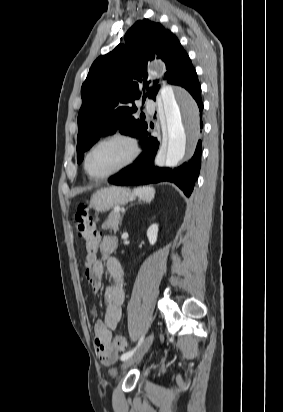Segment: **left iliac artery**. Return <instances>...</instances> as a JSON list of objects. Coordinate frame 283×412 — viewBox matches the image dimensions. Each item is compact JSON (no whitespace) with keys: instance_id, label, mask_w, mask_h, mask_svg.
Instances as JSON below:
<instances>
[{"instance_id":"1","label":"left iliac artery","mask_w":283,"mask_h":412,"mask_svg":"<svg viewBox=\"0 0 283 412\" xmlns=\"http://www.w3.org/2000/svg\"><path fill=\"white\" fill-rule=\"evenodd\" d=\"M143 339H144V337H141V339H140V341L138 342V344H137L136 347H134L132 350L124 353V354L121 356V360H122V361L128 360V359L135 353V351L139 348V346H140L141 343L143 342Z\"/></svg>"}]
</instances>
